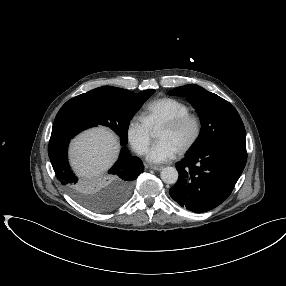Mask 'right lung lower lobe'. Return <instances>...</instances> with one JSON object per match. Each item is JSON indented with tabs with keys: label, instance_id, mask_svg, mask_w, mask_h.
I'll list each match as a JSON object with an SVG mask.
<instances>
[{
	"label": "right lung lower lobe",
	"instance_id": "1",
	"mask_svg": "<svg viewBox=\"0 0 286 286\" xmlns=\"http://www.w3.org/2000/svg\"><path fill=\"white\" fill-rule=\"evenodd\" d=\"M75 135L76 134L73 132L65 130L57 124H53L48 154L57 179L70 194L78 199L86 192L93 191L98 187L96 184L80 181L74 175L68 164L67 147L70 139ZM143 171L144 166L142 165L141 160L131 156L130 153L123 148L120 152L118 161L108 171L111 184L106 187L105 193L112 196L120 186H123L126 189V194H129L133 180H135ZM125 200L117 203L112 208L117 207ZM112 208H109V210Z\"/></svg>",
	"mask_w": 286,
	"mask_h": 286
}]
</instances>
